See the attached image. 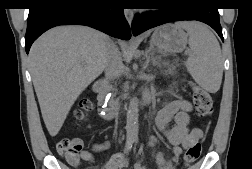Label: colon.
Instances as JSON below:
<instances>
[{
    "instance_id": "colon-1",
    "label": "colon",
    "mask_w": 252,
    "mask_h": 169,
    "mask_svg": "<svg viewBox=\"0 0 252 169\" xmlns=\"http://www.w3.org/2000/svg\"><path fill=\"white\" fill-rule=\"evenodd\" d=\"M193 103L196 113L199 117L209 116L213 110V101L211 95L198 86H193ZM90 107L89 99H83L79 108L75 111V117L81 118L84 110ZM82 150V142L79 139H61L57 143V151L71 165H77L80 161V152ZM201 155V144L196 142L190 145L183 156L185 166L195 163Z\"/></svg>"
}]
</instances>
